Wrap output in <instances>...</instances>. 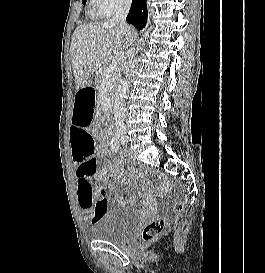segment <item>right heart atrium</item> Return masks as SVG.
I'll use <instances>...</instances> for the list:
<instances>
[{"label":"right heart atrium","instance_id":"1","mask_svg":"<svg viewBox=\"0 0 265 273\" xmlns=\"http://www.w3.org/2000/svg\"><path fill=\"white\" fill-rule=\"evenodd\" d=\"M130 4L131 0H91L92 7L104 16L127 9Z\"/></svg>","mask_w":265,"mask_h":273}]
</instances>
